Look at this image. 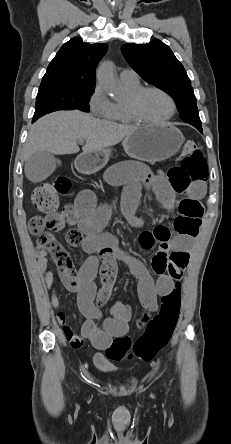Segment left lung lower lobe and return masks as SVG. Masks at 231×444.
Instances as JSON below:
<instances>
[{
	"label": "left lung lower lobe",
	"instance_id": "left-lung-lower-lobe-1",
	"mask_svg": "<svg viewBox=\"0 0 231 444\" xmlns=\"http://www.w3.org/2000/svg\"><path fill=\"white\" fill-rule=\"evenodd\" d=\"M197 129H198L201 133L203 132L202 128H198V127H197Z\"/></svg>",
	"mask_w": 231,
	"mask_h": 444
}]
</instances>
